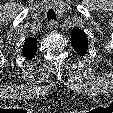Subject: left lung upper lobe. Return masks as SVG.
<instances>
[{
    "instance_id": "obj_1",
    "label": "left lung upper lobe",
    "mask_w": 113,
    "mask_h": 113,
    "mask_svg": "<svg viewBox=\"0 0 113 113\" xmlns=\"http://www.w3.org/2000/svg\"><path fill=\"white\" fill-rule=\"evenodd\" d=\"M71 43L79 55H84L88 49V38L84 31L75 29L71 34Z\"/></svg>"
}]
</instances>
